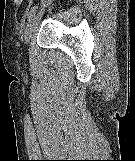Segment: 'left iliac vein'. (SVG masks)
I'll use <instances>...</instances> for the list:
<instances>
[{
  "label": "left iliac vein",
  "instance_id": "1",
  "mask_svg": "<svg viewBox=\"0 0 135 161\" xmlns=\"http://www.w3.org/2000/svg\"><path fill=\"white\" fill-rule=\"evenodd\" d=\"M41 18V13L35 15L31 20H29L26 29L24 31V41L28 44L34 37L37 30L39 20Z\"/></svg>",
  "mask_w": 135,
  "mask_h": 161
}]
</instances>
